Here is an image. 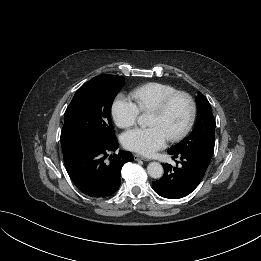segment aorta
I'll return each mask as SVG.
<instances>
[{
	"label": "aorta",
	"mask_w": 261,
	"mask_h": 261,
	"mask_svg": "<svg viewBox=\"0 0 261 261\" xmlns=\"http://www.w3.org/2000/svg\"><path fill=\"white\" fill-rule=\"evenodd\" d=\"M138 122H139L140 125H145L147 123L146 115H141L138 118ZM147 172H148L150 177H152L154 179H159V178L162 177L164 170H163V167L160 163L151 162L147 166Z\"/></svg>",
	"instance_id": "762f6f07"
}]
</instances>
